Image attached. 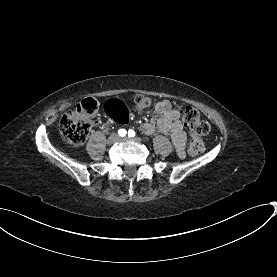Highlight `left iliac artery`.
<instances>
[{
	"label": "left iliac artery",
	"instance_id": "left-iliac-artery-1",
	"mask_svg": "<svg viewBox=\"0 0 277 277\" xmlns=\"http://www.w3.org/2000/svg\"><path fill=\"white\" fill-rule=\"evenodd\" d=\"M135 134H136L135 131L132 130V129L128 131V136H129V137H134Z\"/></svg>",
	"mask_w": 277,
	"mask_h": 277
}]
</instances>
